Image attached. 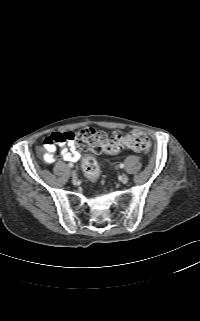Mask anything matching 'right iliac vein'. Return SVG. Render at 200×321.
<instances>
[{
  "label": "right iliac vein",
  "instance_id": "right-iliac-vein-1",
  "mask_svg": "<svg viewBox=\"0 0 200 321\" xmlns=\"http://www.w3.org/2000/svg\"><path fill=\"white\" fill-rule=\"evenodd\" d=\"M71 176L75 180L77 178V173L74 170H72L71 171Z\"/></svg>",
  "mask_w": 200,
  "mask_h": 321
}]
</instances>
